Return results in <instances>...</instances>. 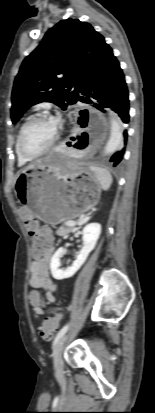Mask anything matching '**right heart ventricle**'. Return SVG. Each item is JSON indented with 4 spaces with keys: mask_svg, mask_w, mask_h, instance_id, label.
Wrapping results in <instances>:
<instances>
[{
    "mask_svg": "<svg viewBox=\"0 0 155 413\" xmlns=\"http://www.w3.org/2000/svg\"><path fill=\"white\" fill-rule=\"evenodd\" d=\"M22 125H23V124H22ZM22 125L20 126V128H19V130H18V133H17V135H16V139H15V152H16V156H17L18 163H19L20 165H24V164H26L27 162L30 161V159H27V158H25V157L22 156V154L20 153L19 148H18V135H19V131H20Z\"/></svg>",
    "mask_w": 155,
    "mask_h": 413,
    "instance_id": "obj_1",
    "label": "right heart ventricle"
}]
</instances>
